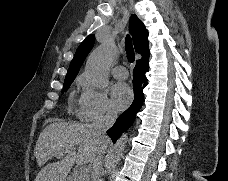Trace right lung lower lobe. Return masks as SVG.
Segmentation results:
<instances>
[{
  "instance_id": "98d812e1",
  "label": "right lung lower lobe",
  "mask_w": 228,
  "mask_h": 181,
  "mask_svg": "<svg viewBox=\"0 0 228 181\" xmlns=\"http://www.w3.org/2000/svg\"><path fill=\"white\" fill-rule=\"evenodd\" d=\"M149 70V55L137 60L133 70L134 101L132 105L123 112L116 120L115 124L107 131L113 142L120 137L134 122L137 112L143 105V88L147 84L146 72Z\"/></svg>"
}]
</instances>
